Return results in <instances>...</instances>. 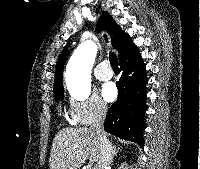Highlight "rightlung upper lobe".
Instances as JSON below:
<instances>
[{
    "mask_svg": "<svg viewBox=\"0 0 200 169\" xmlns=\"http://www.w3.org/2000/svg\"><path fill=\"white\" fill-rule=\"evenodd\" d=\"M106 29L111 36L113 48L118 50L119 61L128 58L132 54L137 52V47L132 43L131 38L125 34L121 28L114 21L112 16L108 12H103L100 21L97 24V31ZM68 46L64 48L61 53L60 60L56 67L55 79H54V93L64 92L62 85V71L66 58V51Z\"/></svg>",
    "mask_w": 200,
    "mask_h": 169,
    "instance_id": "cb5924a9",
    "label": "right lung upper lobe"
}]
</instances>
